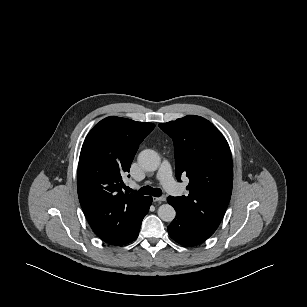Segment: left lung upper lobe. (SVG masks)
I'll return each mask as SVG.
<instances>
[{"mask_svg": "<svg viewBox=\"0 0 307 307\" xmlns=\"http://www.w3.org/2000/svg\"><path fill=\"white\" fill-rule=\"evenodd\" d=\"M159 127L174 142L176 177L189 178L188 196H169L199 227L214 233L229 204L233 165L229 145L208 120L188 115Z\"/></svg>", "mask_w": 307, "mask_h": 307, "instance_id": "obj_1", "label": "left lung upper lobe"}]
</instances>
